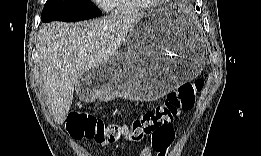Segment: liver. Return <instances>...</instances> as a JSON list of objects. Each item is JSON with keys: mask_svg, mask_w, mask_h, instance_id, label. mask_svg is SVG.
<instances>
[{"mask_svg": "<svg viewBox=\"0 0 261 156\" xmlns=\"http://www.w3.org/2000/svg\"><path fill=\"white\" fill-rule=\"evenodd\" d=\"M140 16L112 15L76 24L52 22L40 28L37 43L40 72L56 123L66 120L79 79L118 53Z\"/></svg>", "mask_w": 261, "mask_h": 156, "instance_id": "liver-1", "label": "liver"}]
</instances>
